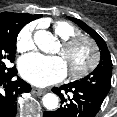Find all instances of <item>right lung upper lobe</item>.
Instances as JSON below:
<instances>
[{
    "label": "right lung upper lobe",
    "mask_w": 117,
    "mask_h": 117,
    "mask_svg": "<svg viewBox=\"0 0 117 117\" xmlns=\"http://www.w3.org/2000/svg\"><path fill=\"white\" fill-rule=\"evenodd\" d=\"M12 15L20 16V17L24 18L28 23L31 22L32 20H35V19L40 18L42 16L40 14L31 15V14H24V13L3 12V13H0V21L9 18Z\"/></svg>",
    "instance_id": "right-lung-upper-lobe-1"
}]
</instances>
